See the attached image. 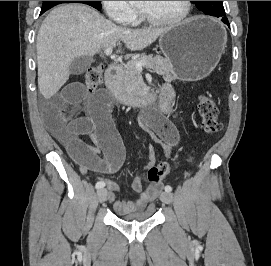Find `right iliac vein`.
I'll use <instances>...</instances> for the list:
<instances>
[{
    "instance_id": "right-iliac-vein-1",
    "label": "right iliac vein",
    "mask_w": 271,
    "mask_h": 266,
    "mask_svg": "<svg viewBox=\"0 0 271 266\" xmlns=\"http://www.w3.org/2000/svg\"><path fill=\"white\" fill-rule=\"evenodd\" d=\"M106 195H107V189L105 188H101L97 191V197H98V201L100 203L104 202L106 199Z\"/></svg>"
}]
</instances>
